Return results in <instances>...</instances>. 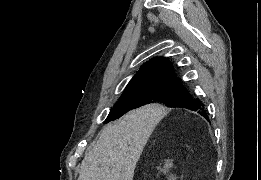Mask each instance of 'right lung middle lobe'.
I'll return each mask as SVG.
<instances>
[{"mask_svg":"<svg viewBox=\"0 0 261 180\" xmlns=\"http://www.w3.org/2000/svg\"><path fill=\"white\" fill-rule=\"evenodd\" d=\"M191 97L180 81L160 82L126 88L111 109L105 123L120 118L129 110L150 103H163L168 107Z\"/></svg>","mask_w":261,"mask_h":180,"instance_id":"1","label":"right lung middle lobe"}]
</instances>
